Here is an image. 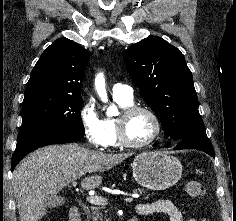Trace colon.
Masks as SVG:
<instances>
[{"label": "colon", "mask_w": 236, "mask_h": 221, "mask_svg": "<svg viewBox=\"0 0 236 221\" xmlns=\"http://www.w3.org/2000/svg\"><path fill=\"white\" fill-rule=\"evenodd\" d=\"M186 193L190 198H200L204 195L205 189L199 181H189L186 184Z\"/></svg>", "instance_id": "obj_1"}]
</instances>
